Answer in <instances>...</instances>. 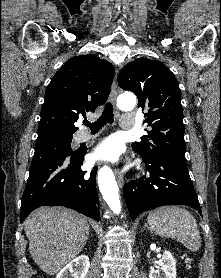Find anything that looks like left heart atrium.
<instances>
[{
    "label": "left heart atrium",
    "instance_id": "39dd6f15",
    "mask_svg": "<svg viewBox=\"0 0 221 278\" xmlns=\"http://www.w3.org/2000/svg\"><path fill=\"white\" fill-rule=\"evenodd\" d=\"M121 150V144L115 138L102 142L94 153L95 159H116Z\"/></svg>",
    "mask_w": 221,
    "mask_h": 278
}]
</instances>
